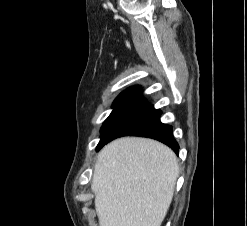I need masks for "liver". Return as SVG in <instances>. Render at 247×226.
Segmentation results:
<instances>
[{"mask_svg":"<svg viewBox=\"0 0 247 226\" xmlns=\"http://www.w3.org/2000/svg\"><path fill=\"white\" fill-rule=\"evenodd\" d=\"M178 175V159L162 143L112 141L97 156L91 185L100 226H161Z\"/></svg>","mask_w":247,"mask_h":226,"instance_id":"obj_1","label":"liver"}]
</instances>
